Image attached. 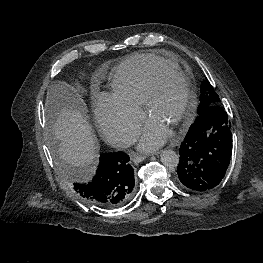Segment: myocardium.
Returning a JSON list of instances; mask_svg holds the SVG:
<instances>
[{
  "instance_id": "f54148a6",
  "label": "myocardium",
  "mask_w": 263,
  "mask_h": 263,
  "mask_svg": "<svg viewBox=\"0 0 263 263\" xmlns=\"http://www.w3.org/2000/svg\"><path fill=\"white\" fill-rule=\"evenodd\" d=\"M166 76H173L184 83L186 99L183 110L174 122L175 131H180L192 119L197 106V97L190 79L184 75L178 68H160L150 78L145 97L142 103L143 110L147 117H150L153 101L157 88L161 80Z\"/></svg>"
}]
</instances>
